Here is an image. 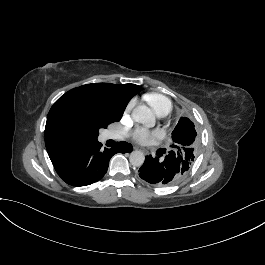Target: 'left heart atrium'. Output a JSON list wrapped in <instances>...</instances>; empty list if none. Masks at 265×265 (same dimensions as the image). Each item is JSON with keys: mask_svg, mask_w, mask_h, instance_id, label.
Masks as SVG:
<instances>
[{"mask_svg": "<svg viewBox=\"0 0 265 265\" xmlns=\"http://www.w3.org/2000/svg\"><path fill=\"white\" fill-rule=\"evenodd\" d=\"M157 134V131L150 130L146 127H139L132 133V137L138 142L146 143Z\"/></svg>", "mask_w": 265, "mask_h": 265, "instance_id": "1", "label": "left heart atrium"}]
</instances>
